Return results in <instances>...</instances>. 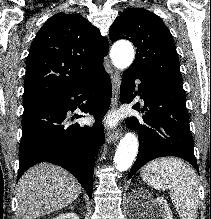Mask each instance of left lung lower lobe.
<instances>
[{"label": "left lung lower lobe", "mask_w": 211, "mask_h": 219, "mask_svg": "<svg viewBox=\"0 0 211 219\" xmlns=\"http://www.w3.org/2000/svg\"><path fill=\"white\" fill-rule=\"evenodd\" d=\"M135 79L141 81L139 92L135 91ZM137 93L144 100L146 112L140 119L130 117L126 121L139 138L138 156L128 178L150 160L164 156L183 158L198 171L182 81L143 77L126 70L120 88L121 103H130ZM132 108L139 111V103Z\"/></svg>", "instance_id": "left-lung-lower-lobe-1"}]
</instances>
